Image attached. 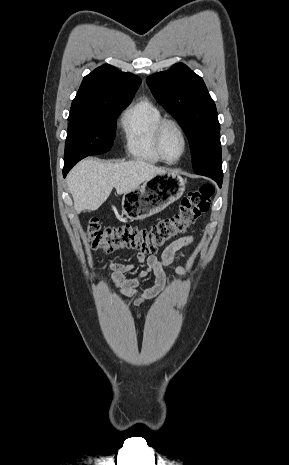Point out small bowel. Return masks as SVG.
I'll return each mask as SVG.
<instances>
[{
	"mask_svg": "<svg viewBox=\"0 0 289 465\" xmlns=\"http://www.w3.org/2000/svg\"><path fill=\"white\" fill-rule=\"evenodd\" d=\"M195 241V236L186 235L170 243L162 252L160 257L155 255L146 256L139 252L136 255L135 261L131 264H121L109 261V267L112 271L111 281L115 288L134 300L135 304H141L146 300H152L158 297L169 283V275L166 268L169 267L174 260L177 251L190 246ZM138 265H144V269L135 277L128 278L125 274L133 270ZM175 272L180 275H186V269L182 266L175 268ZM155 276V284L153 287L138 291V286L149 274Z\"/></svg>",
	"mask_w": 289,
	"mask_h": 465,
	"instance_id": "c3829d8e",
	"label": "small bowel"
}]
</instances>
